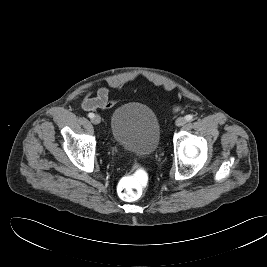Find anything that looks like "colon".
Listing matches in <instances>:
<instances>
[{"label":"colon","instance_id":"5ec220e1","mask_svg":"<svg viewBox=\"0 0 267 267\" xmlns=\"http://www.w3.org/2000/svg\"><path fill=\"white\" fill-rule=\"evenodd\" d=\"M147 180V174L143 169L135 170L121 180L119 184V195L127 201L139 199L147 185Z\"/></svg>","mask_w":267,"mask_h":267}]
</instances>
